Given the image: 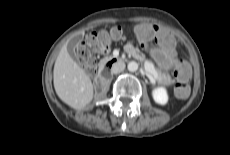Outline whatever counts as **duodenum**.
<instances>
[{"mask_svg":"<svg viewBox=\"0 0 230 155\" xmlns=\"http://www.w3.org/2000/svg\"><path fill=\"white\" fill-rule=\"evenodd\" d=\"M118 60L116 59H110L108 60L102 67L101 71L99 72L96 83L97 85H101L103 82L106 81V73L109 71V68L115 64Z\"/></svg>","mask_w":230,"mask_h":155,"instance_id":"410a0bca","label":"duodenum"}]
</instances>
